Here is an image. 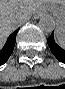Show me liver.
Listing matches in <instances>:
<instances>
[{"label": "liver", "instance_id": "6515ba94", "mask_svg": "<svg viewBox=\"0 0 65 89\" xmlns=\"http://www.w3.org/2000/svg\"><path fill=\"white\" fill-rule=\"evenodd\" d=\"M63 3V0H0V44L5 43L18 20L30 18L41 7Z\"/></svg>", "mask_w": 65, "mask_h": 89}]
</instances>
